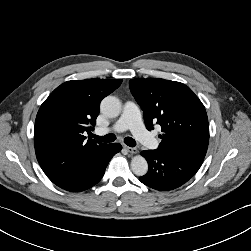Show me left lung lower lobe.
<instances>
[{"instance_id":"0a47b994","label":"left lung lower lobe","mask_w":251,"mask_h":251,"mask_svg":"<svg viewBox=\"0 0 251 251\" xmlns=\"http://www.w3.org/2000/svg\"><path fill=\"white\" fill-rule=\"evenodd\" d=\"M141 155L147 160L149 170L139 180L159 191L180 187L195 175L203 162L187 154L167 151L144 150Z\"/></svg>"}]
</instances>
